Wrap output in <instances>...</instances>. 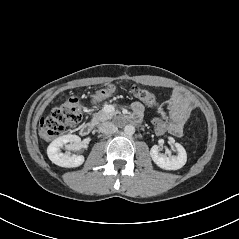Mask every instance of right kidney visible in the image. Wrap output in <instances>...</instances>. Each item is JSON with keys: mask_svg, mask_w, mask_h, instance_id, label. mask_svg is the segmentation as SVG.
Returning a JSON list of instances; mask_svg holds the SVG:
<instances>
[{"mask_svg": "<svg viewBox=\"0 0 239 239\" xmlns=\"http://www.w3.org/2000/svg\"><path fill=\"white\" fill-rule=\"evenodd\" d=\"M80 142L81 138L77 135L67 134L60 136L50 143L47 148V155L54 164L60 167H78L83 164L85 160L84 156L62 153L61 148L66 146L68 143H70V145H68L70 148H76Z\"/></svg>", "mask_w": 239, "mask_h": 239, "instance_id": "right-kidney-1", "label": "right kidney"}]
</instances>
